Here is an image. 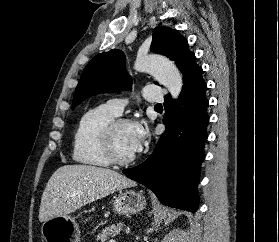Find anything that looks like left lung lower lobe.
<instances>
[{
	"label": "left lung lower lobe",
	"mask_w": 279,
	"mask_h": 242,
	"mask_svg": "<svg viewBox=\"0 0 279 242\" xmlns=\"http://www.w3.org/2000/svg\"><path fill=\"white\" fill-rule=\"evenodd\" d=\"M202 72L191 55L182 70L179 98L174 101L168 94L164 101L165 134L146 161L123 170L127 177L151 189L164 205L191 212L199 208L197 186L208 138L209 102Z\"/></svg>",
	"instance_id": "1"
}]
</instances>
